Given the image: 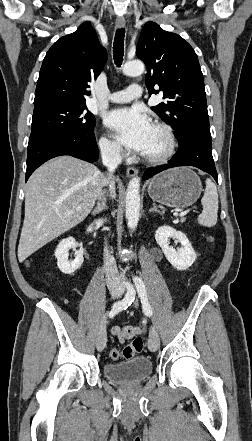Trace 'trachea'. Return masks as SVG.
Listing matches in <instances>:
<instances>
[{"label": "trachea", "instance_id": "obj_1", "mask_svg": "<svg viewBox=\"0 0 252 441\" xmlns=\"http://www.w3.org/2000/svg\"><path fill=\"white\" fill-rule=\"evenodd\" d=\"M124 37H125V29L119 28L116 30L114 43H113V58L115 64L120 67L123 61L124 55Z\"/></svg>", "mask_w": 252, "mask_h": 441}]
</instances>
